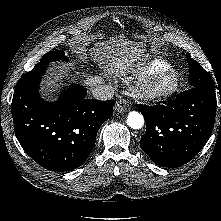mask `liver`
I'll use <instances>...</instances> for the list:
<instances>
[{
  "label": "liver",
  "instance_id": "6515ba94",
  "mask_svg": "<svg viewBox=\"0 0 221 221\" xmlns=\"http://www.w3.org/2000/svg\"><path fill=\"white\" fill-rule=\"evenodd\" d=\"M79 52L83 51L78 47ZM94 57L97 58L106 74L114 76H125L140 61L143 60L144 50L142 46L125 39V36L112 37L111 40L100 42L95 45ZM69 76L68 68L65 65L57 67L44 81L43 91L45 96L53 99L55 92L59 90L63 78ZM84 85L90 88L104 84V80L98 76L89 74L82 75Z\"/></svg>",
  "mask_w": 221,
  "mask_h": 221
}]
</instances>
